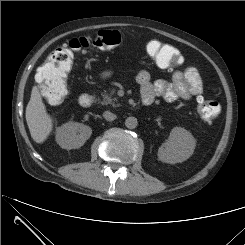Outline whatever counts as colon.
I'll use <instances>...</instances> for the list:
<instances>
[{
	"label": "colon",
	"instance_id": "colon-1",
	"mask_svg": "<svg viewBox=\"0 0 245 245\" xmlns=\"http://www.w3.org/2000/svg\"><path fill=\"white\" fill-rule=\"evenodd\" d=\"M122 34L118 30H101L93 36L78 37L70 40L64 47L54 50L41 67L38 80L43 96L51 104L62 102L68 94L67 75L72 64L74 51L90 47L107 50L120 45ZM147 53L160 67H176L183 63L177 50L157 40L146 46ZM197 110L202 119L212 122L220 111L219 103L210 99H197Z\"/></svg>",
	"mask_w": 245,
	"mask_h": 245
}]
</instances>
